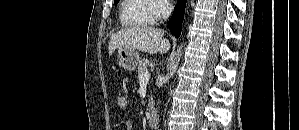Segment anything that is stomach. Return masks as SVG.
<instances>
[{
    "mask_svg": "<svg viewBox=\"0 0 299 130\" xmlns=\"http://www.w3.org/2000/svg\"><path fill=\"white\" fill-rule=\"evenodd\" d=\"M117 61L120 67L127 71H133L139 63V54L135 49L119 48Z\"/></svg>",
    "mask_w": 299,
    "mask_h": 130,
    "instance_id": "0dacf381",
    "label": "stomach"
}]
</instances>
